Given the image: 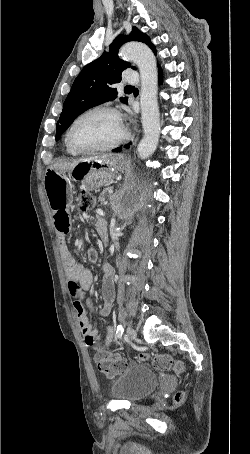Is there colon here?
<instances>
[{
    "instance_id": "1",
    "label": "colon",
    "mask_w": 250,
    "mask_h": 454,
    "mask_svg": "<svg viewBox=\"0 0 250 454\" xmlns=\"http://www.w3.org/2000/svg\"><path fill=\"white\" fill-rule=\"evenodd\" d=\"M95 202L94 195L89 191H82L80 195L79 208L83 211L89 210L93 207ZM141 360L145 361L149 359L146 355H141L139 357ZM95 361L99 371L106 376H114L122 371H124L128 364L126 360L120 356H111L104 351H99L95 356ZM151 362L156 369L167 371L171 370L174 372H181L183 370V365L176 360H173L168 355H154L151 358ZM184 394L179 392L175 396L177 402L183 399Z\"/></svg>"
}]
</instances>
